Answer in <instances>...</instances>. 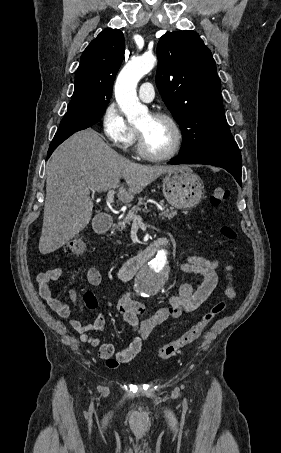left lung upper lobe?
<instances>
[{
    "mask_svg": "<svg viewBox=\"0 0 281 453\" xmlns=\"http://www.w3.org/2000/svg\"><path fill=\"white\" fill-rule=\"evenodd\" d=\"M156 84L182 131L180 155L234 143L211 51L194 31L164 34Z\"/></svg>",
    "mask_w": 281,
    "mask_h": 453,
    "instance_id": "1",
    "label": "left lung upper lobe"
}]
</instances>
